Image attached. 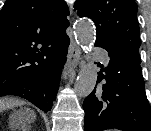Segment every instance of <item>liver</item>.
Returning <instances> with one entry per match:
<instances>
[{"mask_svg": "<svg viewBox=\"0 0 151 131\" xmlns=\"http://www.w3.org/2000/svg\"><path fill=\"white\" fill-rule=\"evenodd\" d=\"M11 107H12V104H11V103H2V102H0V112H1L2 110H5V109L11 108Z\"/></svg>", "mask_w": 151, "mask_h": 131, "instance_id": "obj_1", "label": "liver"}]
</instances>
